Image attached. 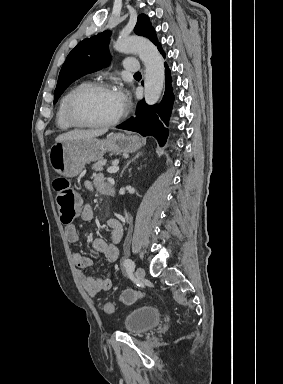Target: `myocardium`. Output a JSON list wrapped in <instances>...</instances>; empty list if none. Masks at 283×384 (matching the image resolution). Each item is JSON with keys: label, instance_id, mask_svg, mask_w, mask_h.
Instances as JSON below:
<instances>
[{"label": "myocardium", "instance_id": "f54148a6", "mask_svg": "<svg viewBox=\"0 0 283 384\" xmlns=\"http://www.w3.org/2000/svg\"><path fill=\"white\" fill-rule=\"evenodd\" d=\"M96 90H112V87L103 82H96V83H88L81 86L79 89H77L68 100L67 106H66V118L71 126L78 129H88V130H99V129H107L114 125H116L121 118L123 117V110L121 109L120 112L116 117L113 119L104 122V123H81L77 120L75 116V106L78 102V100L85 94L96 91Z\"/></svg>", "mask_w": 283, "mask_h": 384}]
</instances>
